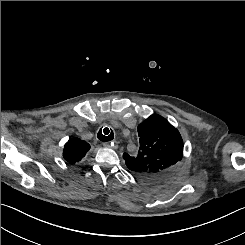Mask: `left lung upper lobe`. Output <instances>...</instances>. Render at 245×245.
Here are the masks:
<instances>
[{"instance_id":"obj_1","label":"left lung upper lobe","mask_w":245,"mask_h":245,"mask_svg":"<svg viewBox=\"0 0 245 245\" xmlns=\"http://www.w3.org/2000/svg\"><path fill=\"white\" fill-rule=\"evenodd\" d=\"M138 135V155L123 154L127 167L141 179H163L182 160L183 140L179 131L162 116L153 114L138 125Z\"/></svg>"}]
</instances>
